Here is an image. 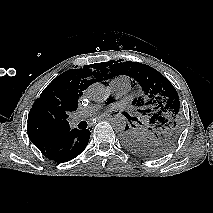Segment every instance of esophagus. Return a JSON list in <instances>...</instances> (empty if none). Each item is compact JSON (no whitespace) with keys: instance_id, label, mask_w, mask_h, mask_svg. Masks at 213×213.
Listing matches in <instances>:
<instances>
[{"instance_id":"1","label":"esophagus","mask_w":213,"mask_h":213,"mask_svg":"<svg viewBox=\"0 0 213 213\" xmlns=\"http://www.w3.org/2000/svg\"><path fill=\"white\" fill-rule=\"evenodd\" d=\"M106 118H111V116L110 115H102V116L96 117L97 120H103V119H106Z\"/></svg>"}]
</instances>
